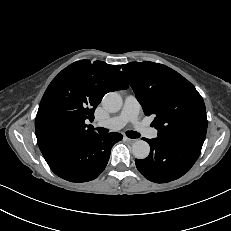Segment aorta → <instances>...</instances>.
<instances>
[{
    "instance_id": "1",
    "label": "aorta",
    "mask_w": 231,
    "mask_h": 231,
    "mask_svg": "<svg viewBox=\"0 0 231 231\" xmlns=\"http://www.w3.org/2000/svg\"><path fill=\"white\" fill-rule=\"evenodd\" d=\"M102 105L108 112H118L122 107V98L117 92H109L103 97ZM132 153L137 159H145L150 153V146L146 141L137 140L132 145Z\"/></svg>"
}]
</instances>
